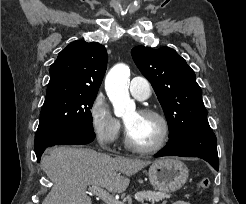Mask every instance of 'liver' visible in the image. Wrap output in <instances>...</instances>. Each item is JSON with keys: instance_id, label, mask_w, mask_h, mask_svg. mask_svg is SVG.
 Returning <instances> with one entry per match:
<instances>
[{"instance_id": "obj_1", "label": "liver", "mask_w": 246, "mask_h": 204, "mask_svg": "<svg viewBox=\"0 0 246 204\" xmlns=\"http://www.w3.org/2000/svg\"><path fill=\"white\" fill-rule=\"evenodd\" d=\"M150 163L111 157L88 148L56 147L41 161L43 171L53 182L42 204H92L87 192L90 186L122 193L129 185V177Z\"/></svg>"}]
</instances>
